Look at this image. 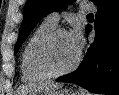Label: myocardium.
<instances>
[{
  "label": "myocardium",
  "instance_id": "f54148a6",
  "mask_svg": "<svg viewBox=\"0 0 119 95\" xmlns=\"http://www.w3.org/2000/svg\"><path fill=\"white\" fill-rule=\"evenodd\" d=\"M60 34H69V33L65 28H55L40 41L36 49V53H35L36 64L38 68L48 77H59V76L68 74L74 71L81 62L82 52H81V49L78 48L77 56L71 65L61 70H55L51 67L48 61L49 48L51 44L53 43V41Z\"/></svg>",
  "mask_w": 119,
  "mask_h": 95
}]
</instances>
